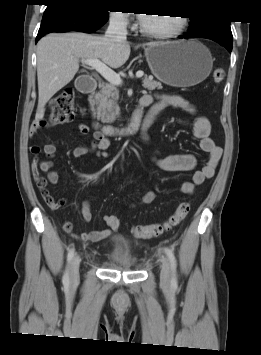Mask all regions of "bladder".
<instances>
[{
	"instance_id": "31cf9c89",
	"label": "bladder",
	"mask_w": 261,
	"mask_h": 355,
	"mask_svg": "<svg viewBox=\"0 0 261 355\" xmlns=\"http://www.w3.org/2000/svg\"><path fill=\"white\" fill-rule=\"evenodd\" d=\"M113 248L111 251V259L124 269L133 267V253L130 241L120 234H115L111 237Z\"/></svg>"
}]
</instances>
